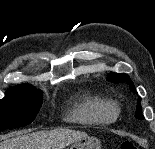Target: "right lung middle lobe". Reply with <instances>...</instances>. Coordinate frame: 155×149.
Segmentation results:
<instances>
[{
    "instance_id": "obj_1",
    "label": "right lung middle lobe",
    "mask_w": 155,
    "mask_h": 149,
    "mask_svg": "<svg viewBox=\"0 0 155 149\" xmlns=\"http://www.w3.org/2000/svg\"><path fill=\"white\" fill-rule=\"evenodd\" d=\"M42 104V92L24 84L10 88L0 100V131L23 127L36 117Z\"/></svg>"
}]
</instances>
